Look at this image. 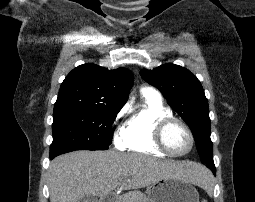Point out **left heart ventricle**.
Returning <instances> with one entry per match:
<instances>
[{"label": "left heart ventricle", "mask_w": 255, "mask_h": 202, "mask_svg": "<svg viewBox=\"0 0 255 202\" xmlns=\"http://www.w3.org/2000/svg\"><path fill=\"white\" fill-rule=\"evenodd\" d=\"M165 141L168 147L174 152H185L190 146V139L185 129L173 124L165 133Z\"/></svg>", "instance_id": "b2bd125f"}]
</instances>
